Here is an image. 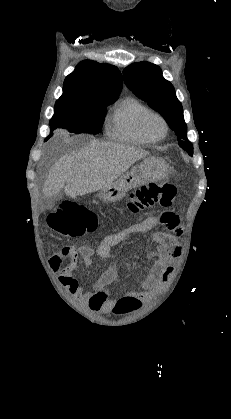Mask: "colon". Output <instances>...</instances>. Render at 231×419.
Instances as JSON below:
<instances>
[{"mask_svg":"<svg viewBox=\"0 0 231 419\" xmlns=\"http://www.w3.org/2000/svg\"><path fill=\"white\" fill-rule=\"evenodd\" d=\"M177 189L174 184L166 182L163 184L150 183L142 186L131 194L126 212L138 214L141 211L160 205L171 207L176 199ZM51 228L60 234L78 235L87 228H96L98 220L94 213L86 207L72 202H65L49 216ZM54 258L62 262L61 254ZM141 306L140 300L134 296H123L115 304V314H125L137 310Z\"/></svg>","mask_w":231,"mask_h":419,"instance_id":"colon-1","label":"colon"}]
</instances>
